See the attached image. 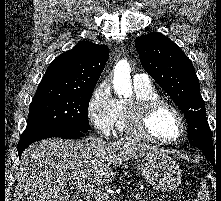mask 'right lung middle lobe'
<instances>
[{"label":"right lung middle lobe","mask_w":221,"mask_h":201,"mask_svg":"<svg viewBox=\"0 0 221 201\" xmlns=\"http://www.w3.org/2000/svg\"><path fill=\"white\" fill-rule=\"evenodd\" d=\"M93 91L37 89L30 104L25 131L65 127L87 132L90 129L87 110Z\"/></svg>","instance_id":"1"}]
</instances>
